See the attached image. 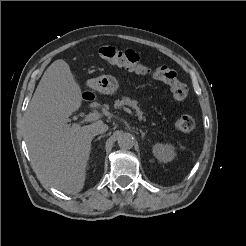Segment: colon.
I'll return each instance as SVG.
<instances>
[{
  "instance_id": "obj_1",
  "label": "colon",
  "mask_w": 246,
  "mask_h": 246,
  "mask_svg": "<svg viewBox=\"0 0 246 246\" xmlns=\"http://www.w3.org/2000/svg\"><path fill=\"white\" fill-rule=\"evenodd\" d=\"M99 54L103 60L112 65L140 74H152L155 79L169 86L172 97L177 101L184 100L187 96V86L179 81L176 72L167 66L150 68L141 62L134 51L119 49L113 45L102 47ZM174 127L181 132H191L195 127V120L191 115H181L175 120Z\"/></svg>"
}]
</instances>
